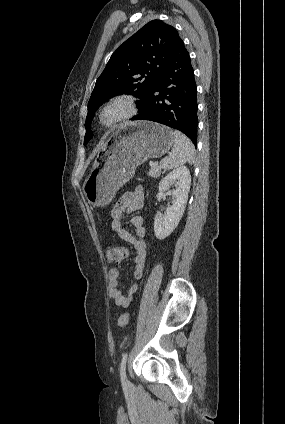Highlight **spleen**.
I'll return each mask as SVG.
<instances>
[{
  "mask_svg": "<svg viewBox=\"0 0 285 424\" xmlns=\"http://www.w3.org/2000/svg\"><path fill=\"white\" fill-rule=\"evenodd\" d=\"M173 137L172 152L168 157L162 159L160 163L164 169H173L186 162L192 164L194 161L195 148L190 139L180 131H174Z\"/></svg>",
  "mask_w": 285,
  "mask_h": 424,
  "instance_id": "1",
  "label": "spleen"
}]
</instances>
